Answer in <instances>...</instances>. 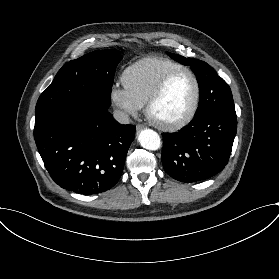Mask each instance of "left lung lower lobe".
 Returning a JSON list of instances; mask_svg holds the SVG:
<instances>
[{"mask_svg":"<svg viewBox=\"0 0 279 279\" xmlns=\"http://www.w3.org/2000/svg\"><path fill=\"white\" fill-rule=\"evenodd\" d=\"M237 130L236 116L210 111L178 133L163 134L165 172L181 182L208 179L226 166Z\"/></svg>","mask_w":279,"mask_h":279,"instance_id":"left-lung-lower-lobe-1","label":"left lung lower lobe"}]
</instances>
